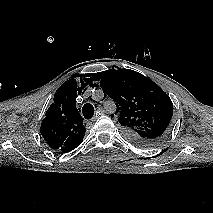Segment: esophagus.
Listing matches in <instances>:
<instances>
[{
    "label": "esophagus",
    "instance_id": "obj_1",
    "mask_svg": "<svg viewBox=\"0 0 213 213\" xmlns=\"http://www.w3.org/2000/svg\"><path fill=\"white\" fill-rule=\"evenodd\" d=\"M103 113H105V110H104L100 105H98V106H97L96 115H97V114H103ZM96 119H97V116H94V117L91 119V121H95Z\"/></svg>",
    "mask_w": 213,
    "mask_h": 213
}]
</instances>
